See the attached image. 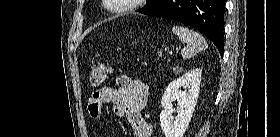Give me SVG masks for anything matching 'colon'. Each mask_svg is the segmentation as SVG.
Instances as JSON below:
<instances>
[{"label":"colon","instance_id":"obj_1","mask_svg":"<svg viewBox=\"0 0 280 137\" xmlns=\"http://www.w3.org/2000/svg\"><path fill=\"white\" fill-rule=\"evenodd\" d=\"M112 68L109 64H98L94 66L89 73V84L92 87L101 86L109 74L111 73Z\"/></svg>","mask_w":280,"mask_h":137}]
</instances>
